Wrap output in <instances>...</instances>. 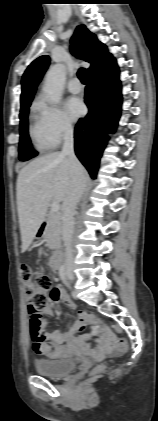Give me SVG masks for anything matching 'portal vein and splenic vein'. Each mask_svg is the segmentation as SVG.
I'll use <instances>...</instances> for the list:
<instances>
[{
  "label": "portal vein and splenic vein",
  "mask_w": 158,
  "mask_h": 421,
  "mask_svg": "<svg viewBox=\"0 0 158 421\" xmlns=\"http://www.w3.org/2000/svg\"><path fill=\"white\" fill-rule=\"evenodd\" d=\"M59 209H60V204H59V202H53L52 203V205H51V210L53 211V212H58L59 211Z\"/></svg>",
  "instance_id": "18ae733b"
}]
</instances>
